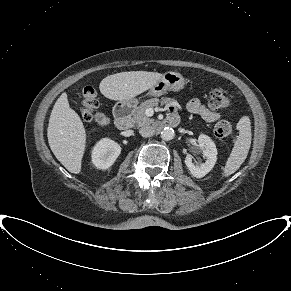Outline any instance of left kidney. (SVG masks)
I'll return each instance as SVG.
<instances>
[{"label": "left kidney", "mask_w": 291, "mask_h": 291, "mask_svg": "<svg viewBox=\"0 0 291 291\" xmlns=\"http://www.w3.org/2000/svg\"><path fill=\"white\" fill-rule=\"evenodd\" d=\"M198 144L199 149L203 151L206 157L205 162L200 166H195L192 162V155L188 154L185 157V164L194 177L202 178L214 167L217 161V149L212 139L204 134L198 137Z\"/></svg>", "instance_id": "left-kidney-1"}]
</instances>
